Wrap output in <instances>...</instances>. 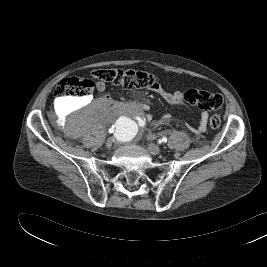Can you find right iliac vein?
Wrapping results in <instances>:
<instances>
[{
    "label": "right iliac vein",
    "instance_id": "right-iliac-vein-1",
    "mask_svg": "<svg viewBox=\"0 0 267 267\" xmlns=\"http://www.w3.org/2000/svg\"><path fill=\"white\" fill-rule=\"evenodd\" d=\"M111 146H112V139H107V141H106V147L107 148H111Z\"/></svg>",
    "mask_w": 267,
    "mask_h": 267
}]
</instances>
